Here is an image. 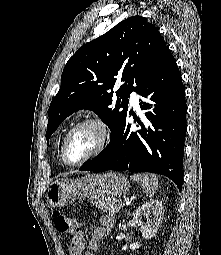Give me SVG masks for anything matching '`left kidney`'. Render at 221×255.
Wrapping results in <instances>:
<instances>
[{
    "label": "left kidney",
    "instance_id": "1",
    "mask_svg": "<svg viewBox=\"0 0 221 255\" xmlns=\"http://www.w3.org/2000/svg\"><path fill=\"white\" fill-rule=\"evenodd\" d=\"M164 215L163 203L160 199H153L149 202L144 203L140 206L133 215V220L140 227L143 238L151 239L153 238L162 222ZM142 217L146 221H142ZM140 247V243L134 242L130 244L129 248L135 250ZM122 250H127V245L122 247Z\"/></svg>",
    "mask_w": 221,
    "mask_h": 255
}]
</instances>
